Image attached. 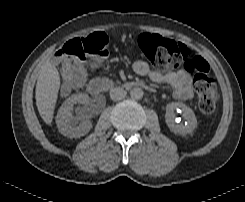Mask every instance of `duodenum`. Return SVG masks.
I'll list each match as a JSON object with an SVG mask.
<instances>
[{
    "label": "duodenum",
    "instance_id": "1",
    "mask_svg": "<svg viewBox=\"0 0 245 202\" xmlns=\"http://www.w3.org/2000/svg\"><path fill=\"white\" fill-rule=\"evenodd\" d=\"M120 87H125L130 90L139 88V89H144L149 92L154 91L153 88L149 84L142 82V81H137V82L130 81L124 85H119L113 80H110L108 78H96V79L91 80L88 84V91L92 96H97L107 89L120 88Z\"/></svg>",
    "mask_w": 245,
    "mask_h": 202
}]
</instances>
